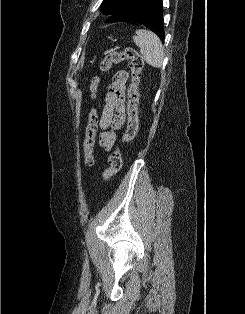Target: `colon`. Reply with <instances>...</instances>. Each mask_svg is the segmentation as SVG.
<instances>
[{"instance_id":"obj_1","label":"colon","mask_w":245,"mask_h":314,"mask_svg":"<svg viewBox=\"0 0 245 314\" xmlns=\"http://www.w3.org/2000/svg\"><path fill=\"white\" fill-rule=\"evenodd\" d=\"M123 61L129 62L131 72V84L128 89V106H127V127L122 137V144L131 142L137 134L139 126L138 105H139V83L141 72L144 66L141 55L133 48H126L123 51H114L105 56L100 63V71L108 72L114 65ZM100 82L98 75H94L90 80L91 97L95 98L97 87ZM97 112L92 108L89 112L88 124L85 128L84 147V164L91 167L94 164V146L97 132ZM122 167L121 149L116 148L109 156L108 167L103 172V179L108 182L109 179L120 171Z\"/></svg>"}]
</instances>
